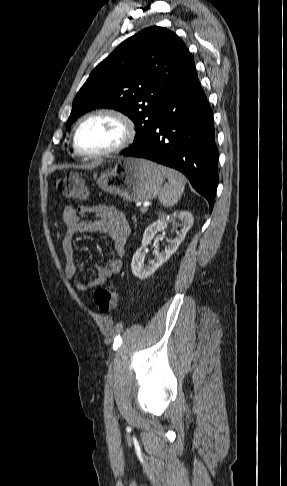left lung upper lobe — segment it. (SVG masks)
I'll return each mask as SVG.
<instances>
[{
	"instance_id": "obj_1",
	"label": "left lung upper lobe",
	"mask_w": 287,
	"mask_h": 486,
	"mask_svg": "<svg viewBox=\"0 0 287 486\" xmlns=\"http://www.w3.org/2000/svg\"><path fill=\"white\" fill-rule=\"evenodd\" d=\"M195 72L193 56L175 33L148 27L92 71L73 101L66 127L87 111L113 108L134 122V147L157 121L171 93Z\"/></svg>"
}]
</instances>
